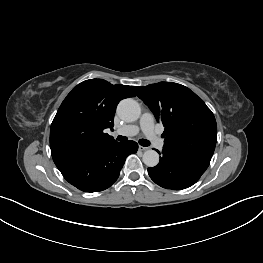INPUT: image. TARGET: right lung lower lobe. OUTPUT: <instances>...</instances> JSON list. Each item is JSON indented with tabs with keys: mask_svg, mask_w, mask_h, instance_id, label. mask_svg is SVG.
I'll use <instances>...</instances> for the list:
<instances>
[{
	"mask_svg": "<svg viewBox=\"0 0 263 263\" xmlns=\"http://www.w3.org/2000/svg\"><path fill=\"white\" fill-rule=\"evenodd\" d=\"M137 150L138 144L134 141L114 142L58 162L56 166L76 188L85 192H98L107 189L117 180L126 157Z\"/></svg>",
	"mask_w": 263,
	"mask_h": 263,
	"instance_id": "98d812e1",
	"label": "right lung lower lobe"
}]
</instances>
